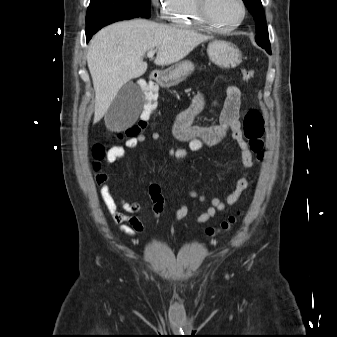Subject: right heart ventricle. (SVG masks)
Masks as SVG:
<instances>
[{
	"label": "right heart ventricle",
	"instance_id": "right-heart-ventricle-1",
	"mask_svg": "<svg viewBox=\"0 0 337 337\" xmlns=\"http://www.w3.org/2000/svg\"><path fill=\"white\" fill-rule=\"evenodd\" d=\"M169 20L178 26L186 28H205V24L198 17L195 0H172Z\"/></svg>",
	"mask_w": 337,
	"mask_h": 337
}]
</instances>
